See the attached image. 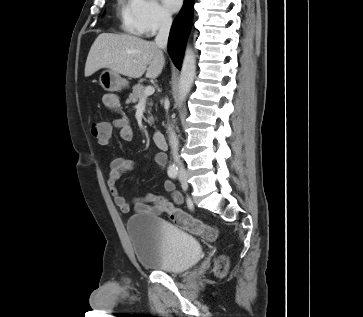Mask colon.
Listing matches in <instances>:
<instances>
[{"mask_svg":"<svg viewBox=\"0 0 363 317\" xmlns=\"http://www.w3.org/2000/svg\"><path fill=\"white\" fill-rule=\"evenodd\" d=\"M104 123L105 122H94L91 124L90 129L93 136H98L102 133ZM168 214L171 221L178 227L187 230L192 234L201 236L203 239L208 241H212L216 238V231L212 226L190 216L180 209L174 206H169ZM226 270L227 261L224 257H220L216 262L215 272L217 275H223L225 274Z\"/></svg>","mask_w":363,"mask_h":317,"instance_id":"colon-1","label":"colon"}]
</instances>
